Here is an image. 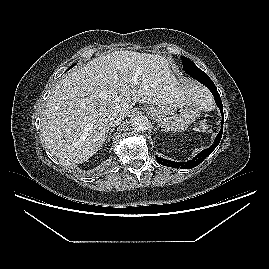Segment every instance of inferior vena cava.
<instances>
[{"label":"inferior vena cava","instance_id":"obj_1","mask_svg":"<svg viewBox=\"0 0 269 269\" xmlns=\"http://www.w3.org/2000/svg\"><path fill=\"white\" fill-rule=\"evenodd\" d=\"M124 119V113L121 111L112 112L107 117V123L110 127H115L121 124Z\"/></svg>","mask_w":269,"mask_h":269}]
</instances>
